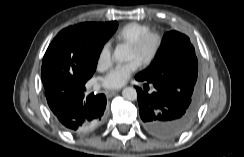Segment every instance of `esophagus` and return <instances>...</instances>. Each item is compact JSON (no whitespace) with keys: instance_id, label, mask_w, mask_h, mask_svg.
I'll return each instance as SVG.
<instances>
[{"instance_id":"34e87169","label":"esophagus","mask_w":244,"mask_h":157,"mask_svg":"<svg viewBox=\"0 0 244 157\" xmlns=\"http://www.w3.org/2000/svg\"><path fill=\"white\" fill-rule=\"evenodd\" d=\"M120 91V89L117 90H110L107 92L108 96H114L116 95L118 92Z\"/></svg>"}]
</instances>
